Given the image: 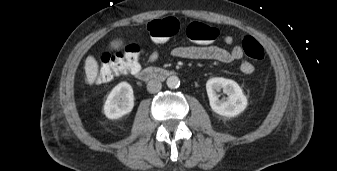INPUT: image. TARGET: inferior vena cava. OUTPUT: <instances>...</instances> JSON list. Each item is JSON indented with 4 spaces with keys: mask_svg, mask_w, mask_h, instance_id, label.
<instances>
[{
    "mask_svg": "<svg viewBox=\"0 0 337 171\" xmlns=\"http://www.w3.org/2000/svg\"><path fill=\"white\" fill-rule=\"evenodd\" d=\"M162 84L158 80H150L147 84V90L150 93H157L161 90Z\"/></svg>",
    "mask_w": 337,
    "mask_h": 171,
    "instance_id": "602c4592",
    "label": "inferior vena cava"
}]
</instances>
